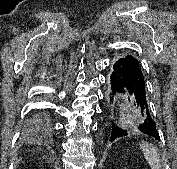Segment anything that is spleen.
Returning <instances> with one entry per match:
<instances>
[{
    "instance_id": "3e777b00",
    "label": "spleen",
    "mask_w": 177,
    "mask_h": 169,
    "mask_svg": "<svg viewBox=\"0 0 177 169\" xmlns=\"http://www.w3.org/2000/svg\"><path fill=\"white\" fill-rule=\"evenodd\" d=\"M141 149L151 169H161V160L157 148L152 144L143 142Z\"/></svg>"
}]
</instances>
